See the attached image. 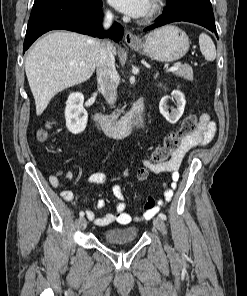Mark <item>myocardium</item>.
<instances>
[{
  "mask_svg": "<svg viewBox=\"0 0 247 296\" xmlns=\"http://www.w3.org/2000/svg\"><path fill=\"white\" fill-rule=\"evenodd\" d=\"M162 10L161 0H152L151 6L147 14L141 19V23H150L158 17Z\"/></svg>",
  "mask_w": 247,
  "mask_h": 296,
  "instance_id": "f54148a6",
  "label": "myocardium"
}]
</instances>
